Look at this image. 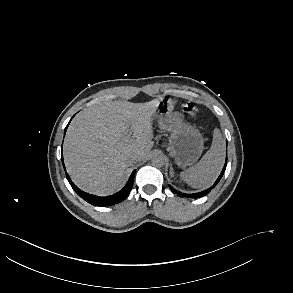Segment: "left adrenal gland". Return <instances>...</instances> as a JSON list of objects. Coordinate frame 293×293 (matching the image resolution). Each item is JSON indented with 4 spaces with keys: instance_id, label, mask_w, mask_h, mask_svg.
I'll list each match as a JSON object with an SVG mask.
<instances>
[{
    "instance_id": "a2214340",
    "label": "left adrenal gland",
    "mask_w": 293,
    "mask_h": 293,
    "mask_svg": "<svg viewBox=\"0 0 293 293\" xmlns=\"http://www.w3.org/2000/svg\"><path fill=\"white\" fill-rule=\"evenodd\" d=\"M170 175H171V177H173V168H172V165H170Z\"/></svg>"
}]
</instances>
